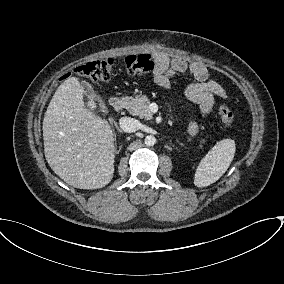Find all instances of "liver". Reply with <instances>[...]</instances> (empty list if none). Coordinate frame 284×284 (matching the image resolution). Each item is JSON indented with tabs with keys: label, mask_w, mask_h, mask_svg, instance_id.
Here are the masks:
<instances>
[{
	"label": "liver",
	"mask_w": 284,
	"mask_h": 284,
	"mask_svg": "<svg viewBox=\"0 0 284 284\" xmlns=\"http://www.w3.org/2000/svg\"><path fill=\"white\" fill-rule=\"evenodd\" d=\"M78 78L56 90L43 119L44 153L51 169L79 189H99L113 178L115 146L109 123L90 111Z\"/></svg>",
	"instance_id": "obj_1"
}]
</instances>
